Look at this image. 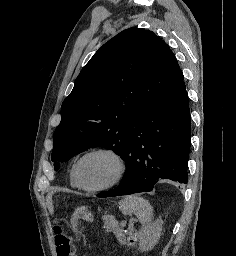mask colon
Here are the masks:
<instances>
[{
	"instance_id": "obj_1",
	"label": "colon",
	"mask_w": 236,
	"mask_h": 256,
	"mask_svg": "<svg viewBox=\"0 0 236 256\" xmlns=\"http://www.w3.org/2000/svg\"><path fill=\"white\" fill-rule=\"evenodd\" d=\"M54 243L56 246L57 256H74L71 249V239L65 233L59 220H55L54 225Z\"/></svg>"
}]
</instances>
